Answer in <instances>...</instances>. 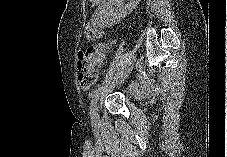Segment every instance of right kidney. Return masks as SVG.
Masks as SVG:
<instances>
[{
    "label": "right kidney",
    "instance_id": "ca27d5eb",
    "mask_svg": "<svg viewBox=\"0 0 227 157\" xmlns=\"http://www.w3.org/2000/svg\"><path fill=\"white\" fill-rule=\"evenodd\" d=\"M115 2L118 4L122 1H109L98 7L95 12L97 23L102 26L112 25L123 19L129 11L126 7L118 6L115 8Z\"/></svg>",
    "mask_w": 227,
    "mask_h": 157
}]
</instances>
